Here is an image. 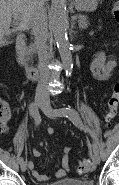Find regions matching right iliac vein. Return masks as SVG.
<instances>
[{"label": "right iliac vein", "instance_id": "63e3f726", "mask_svg": "<svg viewBox=\"0 0 119 185\" xmlns=\"http://www.w3.org/2000/svg\"><path fill=\"white\" fill-rule=\"evenodd\" d=\"M44 105H45V101L42 98H37L36 99V107H37V109L38 108L42 109ZM38 118L40 119V116H38ZM20 168H21V170L23 172H25L26 169H27V163L25 161L21 162L20 163Z\"/></svg>", "mask_w": 119, "mask_h": 185}]
</instances>
